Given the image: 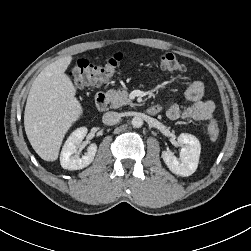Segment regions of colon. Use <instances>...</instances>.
<instances>
[{"mask_svg":"<svg viewBox=\"0 0 251 251\" xmlns=\"http://www.w3.org/2000/svg\"><path fill=\"white\" fill-rule=\"evenodd\" d=\"M121 60V54H115L105 63H93L87 58H80L69 72V76L78 90L101 84L108 81L114 75ZM159 64L163 70L167 71L185 70V66L172 53L162 54ZM208 135L213 141L219 137V126L215 120H212L208 124Z\"/></svg>","mask_w":251,"mask_h":251,"instance_id":"5ec220e1","label":"colon"}]
</instances>
